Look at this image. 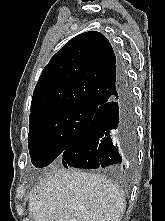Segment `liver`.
<instances>
[{"mask_svg":"<svg viewBox=\"0 0 165 221\" xmlns=\"http://www.w3.org/2000/svg\"><path fill=\"white\" fill-rule=\"evenodd\" d=\"M28 206L35 221H120L126 201L104 176L52 168Z\"/></svg>","mask_w":165,"mask_h":221,"instance_id":"1","label":"liver"}]
</instances>
